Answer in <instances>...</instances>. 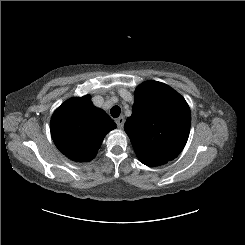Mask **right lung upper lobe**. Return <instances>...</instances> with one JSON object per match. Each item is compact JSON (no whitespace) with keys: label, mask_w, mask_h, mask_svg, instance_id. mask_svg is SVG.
<instances>
[{"label":"right lung upper lobe","mask_w":245,"mask_h":245,"mask_svg":"<svg viewBox=\"0 0 245 245\" xmlns=\"http://www.w3.org/2000/svg\"><path fill=\"white\" fill-rule=\"evenodd\" d=\"M50 127L55 145L65 156L87 162L96 156L104 137L116 124L86 95L70 98L58 107Z\"/></svg>","instance_id":"right-lung-upper-lobe-1"}]
</instances>
